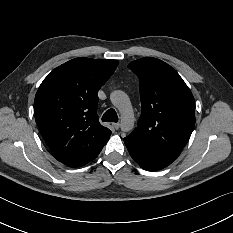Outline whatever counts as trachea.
Returning a JSON list of instances; mask_svg holds the SVG:
<instances>
[{"mask_svg": "<svg viewBox=\"0 0 233 233\" xmlns=\"http://www.w3.org/2000/svg\"><path fill=\"white\" fill-rule=\"evenodd\" d=\"M103 122H118V116L114 109L107 110L102 116Z\"/></svg>", "mask_w": 233, "mask_h": 233, "instance_id": "3493384b", "label": "trachea"}]
</instances>
